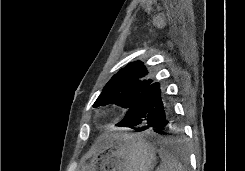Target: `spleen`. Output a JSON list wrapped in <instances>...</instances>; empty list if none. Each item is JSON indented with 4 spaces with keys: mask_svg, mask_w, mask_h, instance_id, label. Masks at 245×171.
<instances>
[{
    "mask_svg": "<svg viewBox=\"0 0 245 171\" xmlns=\"http://www.w3.org/2000/svg\"><path fill=\"white\" fill-rule=\"evenodd\" d=\"M161 164L156 171H186L182 164L168 151H160Z\"/></svg>",
    "mask_w": 245,
    "mask_h": 171,
    "instance_id": "1",
    "label": "spleen"
}]
</instances>
